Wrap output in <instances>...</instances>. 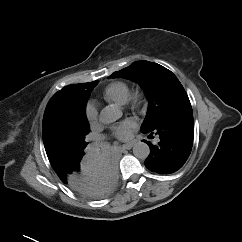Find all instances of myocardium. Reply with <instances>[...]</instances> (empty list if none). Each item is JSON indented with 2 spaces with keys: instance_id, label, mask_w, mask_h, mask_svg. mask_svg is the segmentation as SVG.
Wrapping results in <instances>:
<instances>
[{
  "instance_id": "myocardium-1",
  "label": "myocardium",
  "mask_w": 242,
  "mask_h": 242,
  "mask_svg": "<svg viewBox=\"0 0 242 242\" xmlns=\"http://www.w3.org/2000/svg\"><path fill=\"white\" fill-rule=\"evenodd\" d=\"M144 102V93L140 89L129 92L128 99L125 104H130L132 108H139Z\"/></svg>"
}]
</instances>
